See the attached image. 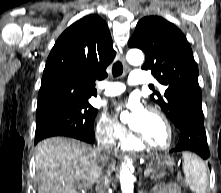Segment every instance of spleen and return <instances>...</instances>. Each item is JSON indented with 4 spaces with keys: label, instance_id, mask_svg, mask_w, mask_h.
<instances>
[{
    "label": "spleen",
    "instance_id": "1",
    "mask_svg": "<svg viewBox=\"0 0 221 193\" xmlns=\"http://www.w3.org/2000/svg\"><path fill=\"white\" fill-rule=\"evenodd\" d=\"M182 156L186 184L195 193H206L208 182L207 166L198 156L190 152H183Z\"/></svg>",
    "mask_w": 221,
    "mask_h": 193
}]
</instances>
